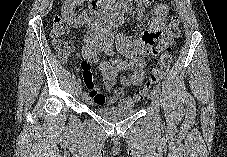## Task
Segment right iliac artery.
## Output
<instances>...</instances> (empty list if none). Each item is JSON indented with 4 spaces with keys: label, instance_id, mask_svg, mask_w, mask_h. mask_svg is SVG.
<instances>
[{
    "label": "right iliac artery",
    "instance_id": "1",
    "mask_svg": "<svg viewBox=\"0 0 227 157\" xmlns=\"http://www.w3.org/2000/svg\"><path fill=\"white\" fill-rule=\"evenodd\" d=\"M80 83H81V80H80V79H76V80H75V84H76V85H79Z\"/></svg>",
    "mask_w": 227,
    "mask_h": 157
}]
</instances>
